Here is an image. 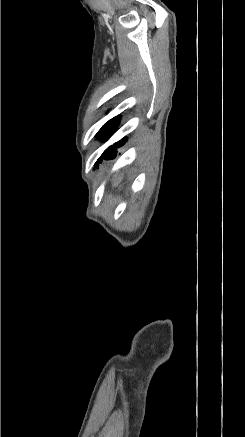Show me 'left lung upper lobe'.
Listing matches in <instances>:
<instances>
[{
    "instance_id": "obj_1",
    "label": "left lung upper lobe",
    "mask_w": 245,
    "mask_h": 437,
    "mask_svg": "<svg viewBox=\"0 0 245 437\" xmlns=\"http://www.w3.org/2000/svg\"><path fill=\"white\" fill-rule=\"evenodd\" d=\"M118 123H119V117L118 116L112 118L106 124H104L102 126V128L97 133V136L102 138V139L108 138L112 134V132L114 131V129L116 128Z\"/></svg>"
}]
</instances>
